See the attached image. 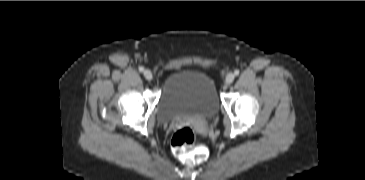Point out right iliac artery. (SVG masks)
<instances>
[{
	"mask_svg": "<svg viewBox=\"0 0 365 180\" xmlns=\"http://www.w3.org/2000/svg\"><path fill=\"white\" fill-rule=\"evenodd\" d=\"M139 71H140V72H143V71H144V67L140 66V67H139Z\"/></svg>",
	"mask_w": 365,
	"mask_h": 180,
	"instance_id": "right-iliac-artery-1",
	"label": "right iliac artery"
}]
</instances>
